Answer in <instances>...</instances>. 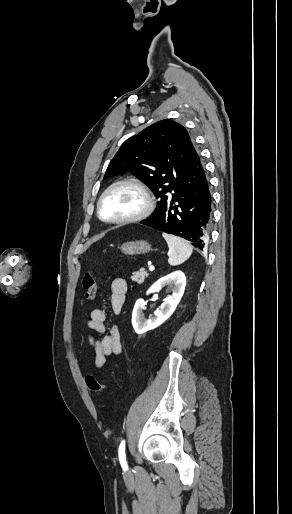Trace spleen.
<instances>
[{"label": "spleen", "instance_id": "obj_1", "mask_svg": "<svg viewBox=\"0 0 292 514\" xmlns=\"http://www.w3.org/2000/svg\"><path fill=\"white\" fill-rule=\"evenodd\" d=\"M164 240H166L169 248V260L170 266H179L186 262L190 258L193 248L188 244L187 240L177 238V236H170V234H162Z\"/></svg>", "mask_w": 292, "mask_h": 514}]
</instances>
